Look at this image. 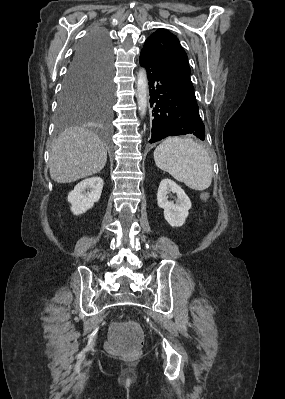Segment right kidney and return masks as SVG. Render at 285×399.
Segmentation results:
<instances>
[{"instance_id":"right-kidney-1","label":"right kidney","mask_w":285,"mask_h":399,"mask_svg":"<svg viewBox=\"0 0 285 399\" xmlns=\"http://www.w3.org/2000/svg\"><path fill=\"white\" fill-rule=\"evenodd\" d=\"M102 188L103 180L100 177L88 178L78 183L68 194L72 213L80 215L91 209L100 199Z\"/></svg>"}]
</instances>
